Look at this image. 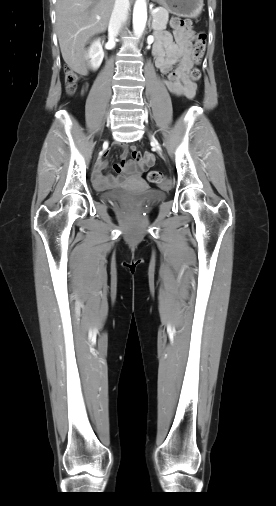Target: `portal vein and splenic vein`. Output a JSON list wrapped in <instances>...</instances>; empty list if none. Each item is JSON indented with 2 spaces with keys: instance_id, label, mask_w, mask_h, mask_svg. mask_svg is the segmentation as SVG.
<instances>
[{
  "instance_id": "18ae733b",
  "label": "portal vein and splenic vein",
  "mask_w": 276,
  "mask_h": 506,
  "mask_svg": "<svg viewBox=\"0 0 276 506\" xmlns=\"http://www.w3.org/2000/svg\"><path fill=\"white\" fill-rule=\"evenodd\" d=\"M157 11H158V8L153 9L152 14L156 13ZM97 19L99 20L100 18L98 17Z\"/></svg>"
}]
</instances>
